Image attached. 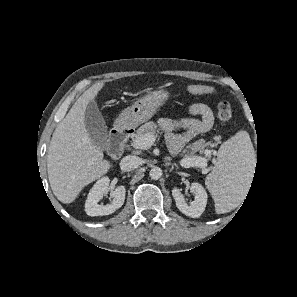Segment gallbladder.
Masks as SVG:
<instances>
[{"label":"gallbladder","instance_id":"gallbladder-1","mask_svg":"<svg viewBox=\"0 0 297 297\" xmlns=\"http://www.w3.org/2000/svg\"><path fill=\"white\" fill-rule=\"evenodd\" d=\"M85 125L91 140L102 150L107 146V125L95 101L91 100L85 111Z\"/></svg>","mask_w":297,"mask_h":297}]
</instances>
